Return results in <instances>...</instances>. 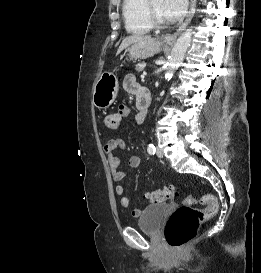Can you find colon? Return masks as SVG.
Segmentation results:
<instances>
[{
	"label": "colon",
	"instance_id": "obj_1",
	"mask_svg": "<svg viewBox=\"0 0 261 273\" xmlns=\"http://www.w3.org/2000/svg\"><path fill=\"white\" fill-rule=\"evenodd\" d=\"M122 116V112L106 115L104 117L105 126L110 130H116ZM174 194V187L169 186L148 191L147 198L152 203H161L172 199ZM197 202L205 205L206 208L203 210L194 208ZM217 212L218 202L213 195L206 194L200 198L188 195L183 205L176 209L167 221L165 227L167 243L176 251H182L196 236L201 223L215 216Z\"/></svg>",
	"mask_w": 261,
	"mask_h": 273
}]
</instances>
